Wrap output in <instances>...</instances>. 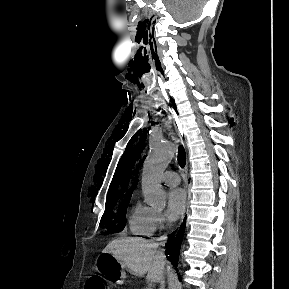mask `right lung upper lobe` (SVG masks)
Returning <instances> with one entry per match:
<instances>
[{
  "mask_svg": "<svg viewBox=\"0 0 289 289\" xmlns=\"http://www.w3.org/2000/svg\"><path fill=\"white\" fill-rule=\"evenodd\" d=\"M124 188V187H123ZM123 190H121V191H118L117 192V196H116V193H114V199L112 198V199H110V196L108 195V197H107V204H108V202H110V204L112 205H114L120 198H122V196H124V201H127V200H130V197H131V193H127V196L125 197V195H123ZM123 201V202H124Z\"/></svg>",
  "mask_w": 289,
  "mask_h": 289,
  "instance_id": "obj_1",
  "label": "right lung upper lobe"
}]
</instances>
